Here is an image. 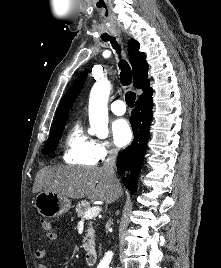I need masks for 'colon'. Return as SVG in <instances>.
<instances>
[{"label": "colon", "instance_id": "1", "mask_svg": "<svg viewBox=\"0 0 221 268\" xmlns=\"http://www.w3.org/2000/svg\"><path fill=\"white\" fill-rule=\"evenodd\" d=\"M41 226H42V229L45 232H49L53 228L52 223L48 219H42L41 220Z\"/></svg>", "mask_w": 221, "mask_h": 268}]
</instances>
